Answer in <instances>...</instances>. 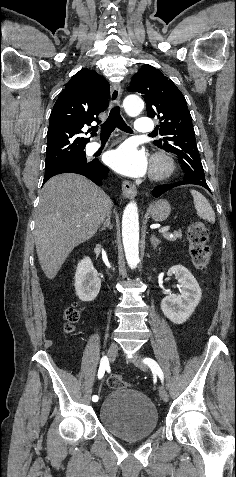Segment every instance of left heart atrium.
Here are the masks:
<instances>
[{
    "mask_svg": "<svg viewBox=\"0 0 236 477\" xmlns=\"http://www.w3.org/2000/svg\"><path fill=\"white\" fill-rule=\"evenodd\" d=\"M105 160L118 173L131 177L142 176L149 168L146 153L131 142L123 143L118 148L109 151Z\"/></svg>",
    "mask_w": 236,
    "mask_h": 477,
    "instance_id": "1",
    "label": "left heart atrium"
}]
</instances>
